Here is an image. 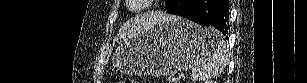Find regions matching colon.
Instances as JSON below:
<instances>
[{"mask_svg": "<svg viewBox=\"0 0 307 83\" xmlns=\"http://www.w3.org/2000/svg\"><path fill=\"white\" fill-rule=\"evenodd\" d=\"M120 82H121V83H135L134 80L129 79V78L123 79V80H121Z\"/></svg>", "mask_w": 307, "mask_h": 83, "instance_id": "5ec220e1", "label": "colon"}]
</instances>
